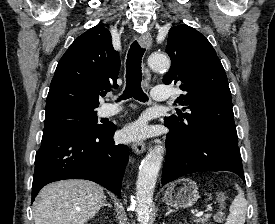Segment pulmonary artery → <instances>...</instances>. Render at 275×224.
<instances>
[{
	"mask_svg": "<svg viewBox=\"0 0 275 224\" xmlns=\"http://www.w3.org/2000/svg\"><path fill=\"white\" fill-rule=\"evenodd\" d=\"M152 98L155 101H167L170 98L169 87H155L152 90ZM121 111V107L115 104H107L104 108V115L113 116Z\"/></svg>",
	"mask_w": 275,
	"mask_h": 224,
	"instance_id": "pulmonary-artery-1",
	"label": "pulmonary artery"
}]
</instances>
